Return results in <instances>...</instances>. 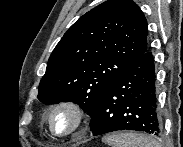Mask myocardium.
Masks as SVG:
<instances>
[{"label":"myocardium","instance_id":"obj_1","mask_svg":"<svg viewBox=\"0 0 183 147\" xmlns=\"http://www.w3.org/2000/svg\"><path fill=\"white\" fill-rule=\"evenodd\" d=\"M68 110L75 117L76 123L72 130L64 134L55 132L52 126V116L59 110ZM86 124V113L84 108L77 102L72 100H63L56 103L50 108L47 114V125L51 134L57 138H68L78 133Z\"/></svg>","mask_w":183,"mask_h":147}]
</instances>
